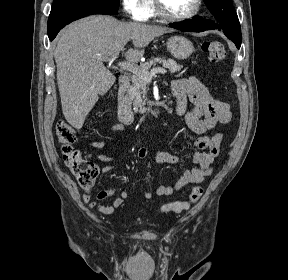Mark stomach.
<instances>
[{
    "mask_svg": "<svg viewBox=\"0 0 288 280\" xmlns=\"http://www.w3.org/2000/svg\"><path fill=\"white\" fill-rule=\"evenodd\" d=\"M167 49L176 59H187L194 52L193 43L182 36H172L167 42Z\"/></svg>",
    "mask_w": 288,
    "mask_h": 280,
    "instance_id": "1",
    "label": "stomach"
}]
</instances>
